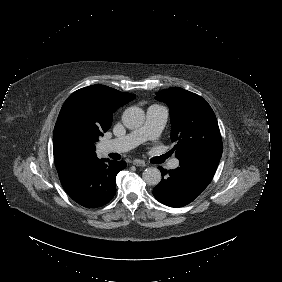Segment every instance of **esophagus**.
Wrapping results in <instances>:
<instances>
[{"label": "esophagus", "mask_w": 282, "mask_h": 282, "mask_svg": "<svg viewBox=\"0 0 282 282\" xmlns=\"http://www.w3.org/2000/svg\"><path fill=\"white\" fill-rule=\"evenodd\" d=\"M133 165L135 166H138V167H145L146 164L143 160H138V159H135L132 161Z\"/></svg>", "instance_id": "1"}]
</instances>
